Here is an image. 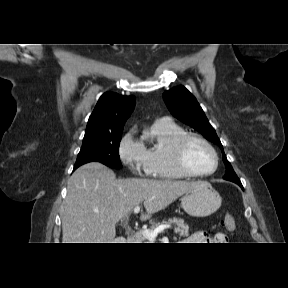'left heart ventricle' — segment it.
Returning <instances> with one entry per match:
<instances>
[{
  "label": "left heart ventricle",
  "mask_w": 288,
  "mask_h": 288,
  "mask_svg": "<svg viewBox=\"0 0 288 288\" xmlns=\"http://www.w3.org/2000/svg\"><path fill=\"white\" fill-rule=\"evenodd\" d=\"M185 161L188 167L199 173L210 172L215 165L211 151L197 141H191L185 150Z\"/></svg>",
  "instance_id": "1"
}]
</instances>
